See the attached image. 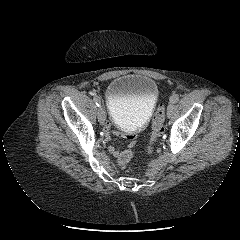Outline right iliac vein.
Returning a JSON list of instances; mask_svg holds the SVG:
<instances>
[{"mask_svg":"<svg viewBox=\"0 0 240 240\" xmlns=\"http://www.w3.org/2000/svg\"><path fill=\"white\" fill-rule=\"evenodd\" d=\"M98 120L101 124H104L106 120L105 111L102 106H100L98 109Z\"/></svg>","mask_w":240,"mask_h":240,"instance_id":"1","label":"right iliac vein"}]
</instances>
